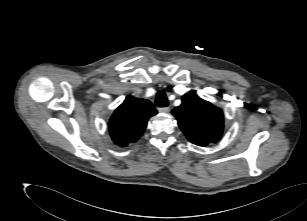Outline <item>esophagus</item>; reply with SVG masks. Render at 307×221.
<instances>
[{
	"mask_svg": "<svg viewBox=\"0 0 307 221\" xmlns=\"http://www.w3.org/2000/svg\"><path fill=\"white\" fill-rule=\"evenodd\" d=\"M160 113H168L170 111L169 107H161L158 109Z\"/></svg>",
	"mask_w": 307,
	"mask_h": 221,
	"instance_id": "esophagus-1",
	"label": "esophagus"
}]
</instances>
